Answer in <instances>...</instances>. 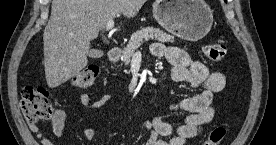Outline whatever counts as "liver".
Wrapping results in <instances>:
<instances>
[{
  "mask_svg": "<svg viewBox=\"0 0 276 145\" xmlns=\"http://www.w3.org/2000/svg\"><path fill=\"white\" fill-rule=\"evenodd\" d=\"M146 0H53L44 29V67L47 84L55 88L88 63L90 42L117 15L133 18Z\"/></svg>",
  "mask_w": 276,
  "mask_h": 145,
  "instance_id": "liver-1",
  "label": "liver"
}]
</instances>
